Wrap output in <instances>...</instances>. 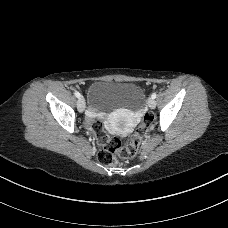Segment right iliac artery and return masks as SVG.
Returning a JSON list of instances; mask_svg holds the SVG:
<instances>
[{
	"label": "right iliac artery",
	"instance_id": "right-iliac-artery-1",
	"mask_svg": "<svg viewBox=\"0 0 228 228\" xmlns=\"http://www.w3.org/2000/svg\"><path fill=\"white\" fill-rule=\"evenodd\" d=\"M74 94H75V96H76L77 98H80V97H81V95H80V93H79L78 91H75Z\"/></svg>",
	"mask_w": 228,
	"mask_h": 228
}]
</instances>
